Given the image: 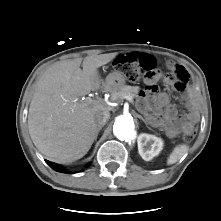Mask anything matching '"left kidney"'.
<instances>
[{"label":"left kidney","instance_id":"1","mask_svg":"<svg viewBox=\"0 0 221 221\" xmlns=\"http://www.w3.org/2000/svg\"><path fill=\"white\" fill-rule=\"evenodd\" d=\"M162 148V139L155 135L143 133L138 137V151L145 161L152 160L153 157L160 153Z\"/></svg>","mask_w":221,"mask_h":221}]
</instances>
